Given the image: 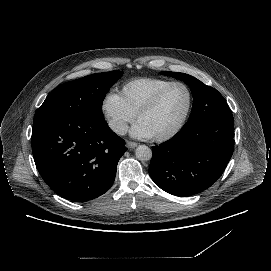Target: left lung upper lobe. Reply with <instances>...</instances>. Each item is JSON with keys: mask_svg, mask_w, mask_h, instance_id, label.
<instances>
[{"mask_svg": "<svg viewBox=\"0 0 271 271\" xmlns=\"http://www.w3.org/2000/svg\"><path fill=\"white\" fill-rule=\"evenodd\" d=\"M161 74L182 80L191 88L193 107L188 122L184 126L205 118H233L228 104L216 89L185 73L161 72Z\"/></svg>", "mask_w": 271, "mask_h": 271, "instance_id": "left-lung-upper-lobe-1", "label": "left lung upper lobe"}]
</instances>
